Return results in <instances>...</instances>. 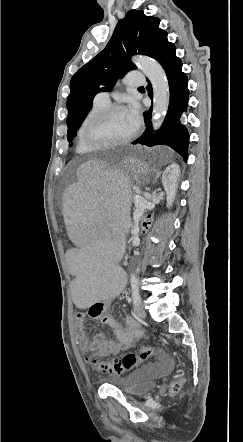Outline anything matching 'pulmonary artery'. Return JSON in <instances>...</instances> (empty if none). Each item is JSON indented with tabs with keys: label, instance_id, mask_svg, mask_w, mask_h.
I'll list each match as a JSON object with an SVG mask.
<instances>
[{
	"label": "pulmonary artery",
	"instance_id": "e3ab8cb5",
	"mask_svg": "<svg viewBox=\"0 0 243 442\" xmlns=\"http://www.w3.org/2000/svg\"><path fill=\"white\" fill-rule=\"evenodd\" d=\"M125 83L131 87L141 86L144 84V80L141 79V75L138 73H130L127 75ZM95 99L99 102L109 104L110 98L108 92H100L95 96Z\"/></svg>",
	"mask_w": 243,
	"mask_h": 442
}]
</instances>
